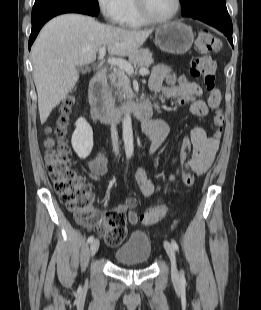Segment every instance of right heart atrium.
Here are the masks:
<instances>
[{
	"label": "right heart atrium",
	"mask_w": 261,
	"mask_h": 310,
	"mask_svg": "<svg viewBox=\"0 0 261 310\" xmlns=\"http://www.w3.org/2000/svg\"><path fill=\"white\" fill-rule=\"evenodd\" d=\"M125 0H96L99 11L109 23L119 24L123 15Z\"/></svg>",
	"instance_id": "obj_1"
}]
</instances>
